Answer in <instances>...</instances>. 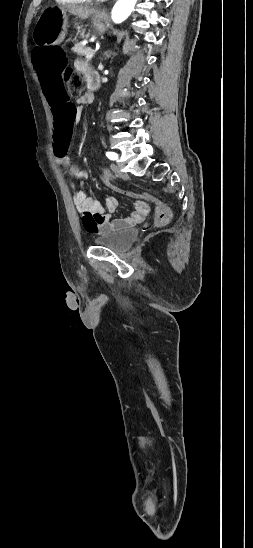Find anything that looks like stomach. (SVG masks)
Instances as JSON below:
<instances>
[{
    "instance_id": "1",
    "label": "stomach",
    "mask_w": 253,
    "mask_h": 548,
    "mask_svg": "<svg viewBox=\"0 0 253 548\" xmlns=\"http://www.w3.org/2000/svg\"><path fill=\"white\" fill-rule=\"evenodd\" d=\"M66 11L59 8L45 10L40 16L34 38L40 45L58 44L62 42L67 32ZM93 28L97 34H103L106 30L103 18L96 15L93 18Z\"/></svg>"
}]
</instances>
